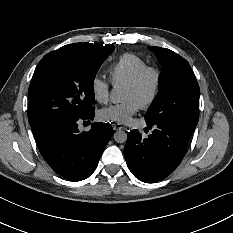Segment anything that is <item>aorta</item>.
<instances>
[{
	"label": "aorta",
	"instance_id": "obj_1",
	"mask_svg": "<svg viewBox=\"0 0 233 233\" xmlns=\"http://www.w3.org/2000/svg\"><path fill=\"white\" fill-rule=\"evenodd\" d=\"M125 97L124 89L119 84H114L110 93H109V99L112 104H119L122 102V100ZM114 140L117 143H124L127 140V134L123 130H118L114 133Z\"/></svg>",
	"mask_w": 233,
	"mask_h": 233
}]
</instances>
